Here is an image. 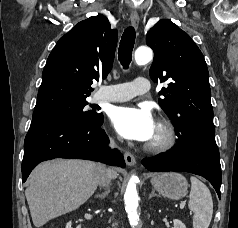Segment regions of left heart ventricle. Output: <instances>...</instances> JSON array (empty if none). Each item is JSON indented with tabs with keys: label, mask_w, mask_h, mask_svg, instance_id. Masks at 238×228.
<instances>
[{
	"label": "left heart ventricle",
	"mask_w": 238,
	"mask_h": 228,
	"mask_svg": "<svg viewBox=\"0 0 238 228\" xmlns=\"http://www.w3.org/2000/svg\"><path fill=\"white\" fill-rule=\"evenodd\" d=\"M158 140V133L157 131L155 130V133L153 135V137L149 140V142H155Z\"/></svg>",
	"instance_id": "1"
}]
</instances>
